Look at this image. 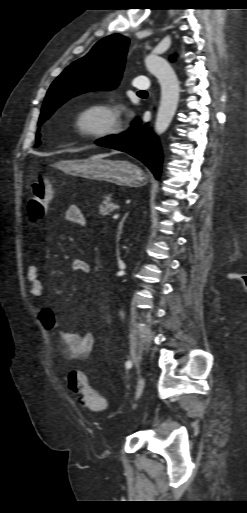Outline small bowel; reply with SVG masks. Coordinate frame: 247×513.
<instances>
[{"label": "small bowel", "instance_id": "obj_1", "mask_svg": "<svg viewBox=\"0 0 247 513\" xmlns=\"http://www.w3.org/2000/svg\"><path fill=\"white\" fill-rule=\"evenodd\" d=\"M64 218L67 222L84 227L85 217L79 207L68 206ZM74 271L90 272L87 262L76 260L72 263ZM29 281L28 291L31 295L41 298L45 294V284L42 279L41 268L37 265H30L27 269ZM37 318L43 327L57 335L60 340L61 352L67 360L82 361L87 359L95 344V337L91 332L77 333L66 329L58 322L55 309L50 306H43L37 312Z\"/></svg>", "mask_w": 247, "mask_h": 513}]
</instances>
